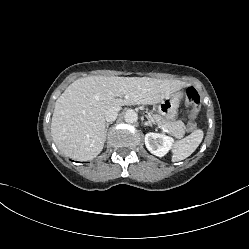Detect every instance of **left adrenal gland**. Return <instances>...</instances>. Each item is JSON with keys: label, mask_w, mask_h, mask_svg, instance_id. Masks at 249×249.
I'll use <instances>...</instances> for the list:
<instances>
[{"label": "left adrenal gland", "mask_w": 249, "mask_h": 249, "mask_svg": "<svg viewBox=\"0 0 249 249\" xmlns=\"http://www.w3.org/2000/svg\"><path fill=\"white\" fill-rule=\"evenodd\" d=\"M147 119H148V121H146V122L144 123V125H145V126H150V127H152V122L149 120L148 117H147Z\"/></svg>", "instance_id": "a2214340"}]
</instances>
